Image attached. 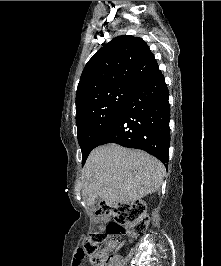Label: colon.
Returning a JSON list of instances; mask_svg holds the SVG:
<instances>
[{"instance_id": "5ec220e1", "label": "colon", "mask_w": 221, "mask_h": 266, "mask_svg": "<svg viewBox=\"0 0 221 266\" xmlns=\"http://www.w3.org/2000/svg\"><path fill=\"white\" fill-rule=\"evenodd\" d=\"M101 217H113L114 221L105 228L91 233L84 241L86 247L84 259L89 258L91 266H105L107 250L102 245L107 243L109 236L127 235L138 237L146 233L149 219L145 214L144 205L140 201L117 204L103 203L97 210ZM110 243V242H109Z\"/></svg>"}]
</instances>
